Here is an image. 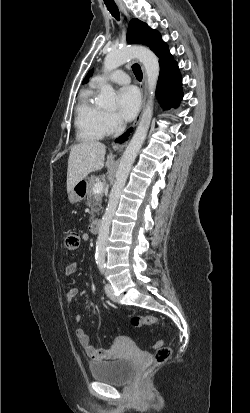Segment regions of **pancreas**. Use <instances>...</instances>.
<instances>
[{"label": "pancreas", "instance_id": "1", "mask_svg": "<svg viewBox=\"0 0 250 413\" xmlns=\"http://www.w3.org/2000/svg\"><path fill=\"white\" fill-rule=\"evenodd\" d=\"M98 181V179L92 175L88 178V183H87V201L86 204L91 207V221L94 220L95 213H98L100 211V206L102 202V197H103V192L101 191L100 193H94L93 192V187L94 184Z\"/></svg>", "mask_w": 250, "mask_h": 413}]
</instances>
